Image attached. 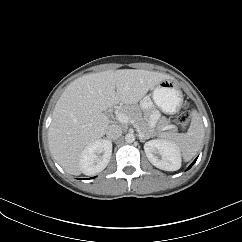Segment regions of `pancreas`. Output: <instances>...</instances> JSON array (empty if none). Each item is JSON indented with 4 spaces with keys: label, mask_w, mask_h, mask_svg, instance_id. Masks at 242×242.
I'll use <instances>...</instances> for the list:
<instances>
[{
    "label": "pancreas",
    "mask_w": 242,
    "mask_h": 242,
    "mask_svg": "<svg viewBox=\"0 0 242 242\" xmlns=\"http://www.w3.org/2000/svg\"><path fill=\"white\" fill-rule=\"evenodd\" d=\"M119 112L127 114L132 121V124L136 127L137 131L144 134V136L150 138L154 135V131L148 128V124L141 117L140 110L135 106H124ZM168 130V131H166ZM176 131L174 126L168 124L167 121L163 120L158 126V132L162 135H171Z\"/></svg>",
    "instance_id": "cf45deb5"
}]
</instances>
